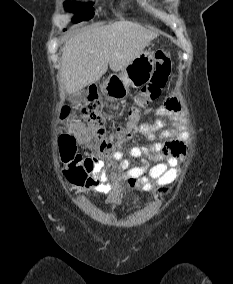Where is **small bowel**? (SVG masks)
<instances>
[{
  "mask_svg": "<svg viewBox=\"0 0 233 284\" xmlns=\"http://www.w3.org/2000/svg\"><path fill=\"white\" fill-rule=\"evenodd\" d=\"M182 110L181 101L173 93H170L160 106L147 110L146 113L157 116V120L153 124H141L139 129L151 144L148 147H133L128 155L116 151L112 153L108 163L99 158H92V174L83 185L84 188L114 192L126 181L132 186L149 191L155 185L166 186L172 183L179 176V166L185 160L188 147L180 127L164 126L167 120L178 122ZM74 129L82 143L89 139L88 131L83 125L77 124ZM159 130L160 140L156 141V132ZM150 160L156 163L152 165Z\"/></svg>",
  "mask_w": 233,
  "mask_h": 284,
  "instance_id": "obj_1",
  "label": "small bowel"
}]
</instances>
